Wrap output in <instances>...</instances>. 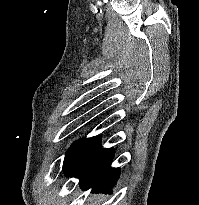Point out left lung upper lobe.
I'll return each mask as SVG.
<instances>
[{
  "label": "left lung upper lobe",
  "mask_w": 199,
  "mask_h": 205,
  "mask_svg": "<svg viewBox=\"0 0 199 205\" xmlns=\"http://www.w3.org/2000/svg\"><path fill=\"white\" fill-rule=\"evenodd\" d=\"M86 141H87L86 138H82L79 141L72 144V146L67 150L64 163H63V171L66 175L69 173V171L73 167Z\"/></svg>",
  "instance_id": "left-lung-upper-lobe-1"
}]
</instances>
